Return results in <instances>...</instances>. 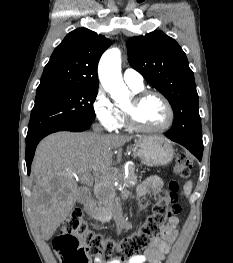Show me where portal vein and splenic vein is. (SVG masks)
<instances>
[{"label":"portal vein and splenic vein","instance_id":"1","mask_svg":"<svg viewBox=\"0 0 233 263\" xmlns=\"http://www.w3.org/2000/svg\"><path fill=\"white\" fill-rule=\"evenodd\" d=\"M81 182H83L86 185H92L93 184V177L91 176L90 172H85L80 176Z\"/></svg>","mask_w":233,"mask_h":263}]
</instances>
